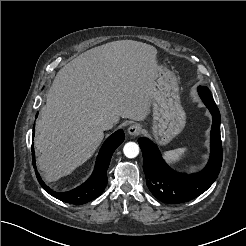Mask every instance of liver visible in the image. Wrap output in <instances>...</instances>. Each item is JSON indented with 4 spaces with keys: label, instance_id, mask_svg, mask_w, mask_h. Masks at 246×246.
Instances as JSON below:
<instances>
[{
    "label": "liver",
    "instance_id": "obj_1",
    "mask_svg": "<svg viewBox=\"0 0 246 246\" xmlns=\"http://www.w3.org/2000/svg\"><path fill=\"white\" fill-rule=\"evenodd\" d=\"M157 49L120 40L80 54L57 73L37 122V164L48 181L71 174L104 138L101 122L144 120L160 67Z\"/></svg>",
    "mask_w": 246,
    "mask_h": 246
}]
</instances>
